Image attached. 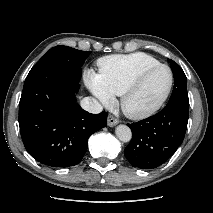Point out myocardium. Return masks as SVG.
I'll return each mask as SVG.
<instances>
[{
  "instance_id": "obj_1",
  "label": "myocardium",
  "mask_w": 213,
  "mask_h": 213,
  "mask_svg": "<svg viewBox=\"0 0 213 213\" xmlns=\"http://www.w3.org/2000/svg\"><path fill=\"white\" fill-rule=\"evenodd\" d=\"M161 68L168 70L169 76H170L169 84L164 94L161 96V98L157 102H155L153 105L145 109L131 110L127 105L129 98L140 87V85L143 83V81L146 79L148 75H150L152 72ZM173 84H174V73L168 65L159 63L157 65L144 69L127 85V87L121 93L120 106L122 111L129 118L136 119V120L144 119L146 117L151 116L164 105V103L166 102V100L168 99L172 91Z\"/></svg>"
}]
</instances>
